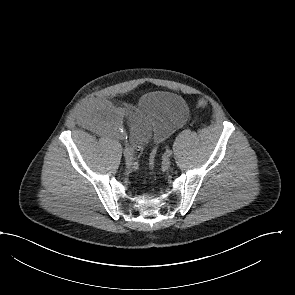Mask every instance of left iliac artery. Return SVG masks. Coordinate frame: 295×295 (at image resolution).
Listing matches in <instances>:
<instances>
[{"instance_id":"1","label":"left iliac artery","mask_w":295,"mask_h":295,"mask_svg":"<svg viewBox=\"0 0 295 295\" xmlns=\"http://www.w3.org/2000/svg\"><path fill=\"white\" fill-rule=\"evenodd\" d=\"M167 156H171L172 155V150L168 149L166 150V153H165Z\"/></svg>"}]
</instances>
